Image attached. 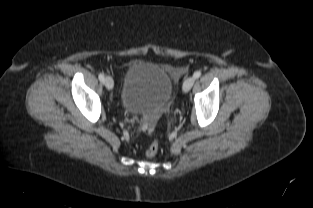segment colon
Masks as SVG:
<instances>
[{
    "label": "colon",
    "instance_id": "colon-1",
    "mask_svg": "<svg viewBox=\"0 0 313 208\" xmlns=\"http://www.w3.org/2000/svg\"><path fill=\"white\" fill-rule=\"evenodd\" d=\"M159 150V142L157 140H154L146 149V156L147 157H153L157 154Z\"/></svg>",
    "mask_w": 313,
    "mask_h": 208
}]
</instances>
